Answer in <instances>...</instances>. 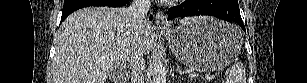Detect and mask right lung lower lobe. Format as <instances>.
<instances>
[{
    "mask_svg": "<svg viewBox=\"0 0 307 83\" xmlns=\"http://www.w3.org/2000/svg\"><path fill=\"white\" fill-rule=\"evenodd\" d=\"M128 2L129 0H64L61 21L80 8L89 6L121 7L126 5Z\"/></svg>",
    "mask_w": 307,
    "mask_h": 83,
    "instance_id": "98d812e1",
    "label": "right lung lower lobe"
}]
</instances>
